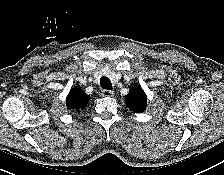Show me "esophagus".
I'll use <instances>...</instances> for the list:
<instances>
[{
    "mask_svg": "<svg viewBox=\"0 0 224 175\" xmlns=\"http://www.w3.org/2000/svg\"><path fill=\"white\" fill-rule=\"evenodd\" d=\"M113 95H114V91H111V90H103L102 91L103 97H112Z\"/></svg>",
    "mask_w": 224,
    "mask_h": 175,
    "instance_id": "obj_1",
    "label": "esophagus"
}]
</instances>
